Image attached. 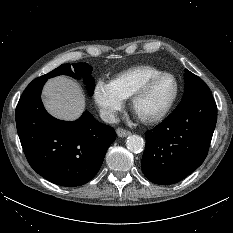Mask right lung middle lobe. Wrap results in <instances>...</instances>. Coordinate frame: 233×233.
<instances>
[{
    "label": "right lung middle lobe",
    "mask_w": 233,
    "mask_h": 233,
    "mask_svg": "<svg viewBox=\"0 0 233 233\" xmlns=\"http://www.w3.org/2000/svg\"><path fill=\"white\" fill-rule=\"evenodd\" d=\"M92 70V67L86 63H74L72 66L70 64H63L48 74L41 76L40 78L48 79L62 74L72 76L75 79L82 78L86 83L87 89L91 95L93 94L95 87V81L91 77Z\"/></svg>",
    "instance_id": "obj_1"
}]
</instances>
